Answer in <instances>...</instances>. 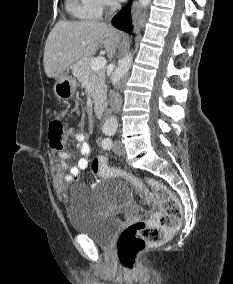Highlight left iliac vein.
Here are the masks:
<instances>
[{"label": "left iliac vein", "mask_w": 233, "mask_h": 284, "mask_svg": "<svg viewBox=\"0 0 233 284\" xmlns=\"http://www.w3.org/2000/svg\"><path fill=\"white\" fill-rule=\"evenodd\" d=\"M113 150L118 155H124L125 154V147L124 144L120 140H116L113 146Z\"/></svg>", "instance_id": "1"}]
</instances>
